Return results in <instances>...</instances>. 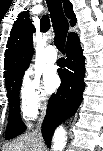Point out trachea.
Here are the masks:
<instances>
[{
    "label": "trachea",
    "mask_w": 103,
    "mask_h": 151,
    "mask_svg": "<svg viewBox=\"0 0 103 151\" xmlns=\"http://www.w3.org/2000/svg\"><path fill=\"white\" fill-rule=\"evenodd\" d=\"M55 32L54 43L59 51L64 52L68 32V21L64 15L61 0H46Z\"/></svg>",
    "instance_id": "3493384b"
}]
</instances>
